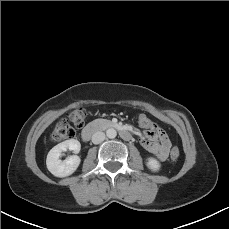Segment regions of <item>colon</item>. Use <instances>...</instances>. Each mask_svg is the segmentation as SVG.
<instances>
[{
    "label": "colon",
    "mask_w": 229,
    "mask_h": 229,
    "mask_svg": "<svg viewBox=\"0 0 229 229\" xmlns=\"http://www.w3.org/2000/svg\"><path fill=\"white\" fill-rule=\"evenodd\" d=\"M70 121L76 125L81 126L85 119V113L82 109H73L68 114ZM75 136V131L70 124V122L66 119L59 120L51 134V140L54 142H60L64 140L71 139ZM170 158L173 162H176L180 158V151L177 147H174L171 151Z\"/></svg>",
    "instance_id": "colon-1"
}]
</instances>
